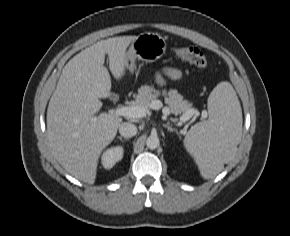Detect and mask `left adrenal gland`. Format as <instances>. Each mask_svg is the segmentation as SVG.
<instances>
[{"label":"left adrenal gland","instance_id":"obj_1","mask_svg":"<svg viewBox=\"0 0 290 236\" xmlns=\"http://www.w3.org/2000/svg\"><path fill=\"white\" fill-rule=\"evenodd\" d=\"M164 126L167 128V130H168L169 132H175L176 134H178L177 130L174 129V128H172V127L169 126L168 124H166V125H164Z\"/></svg>","mask_w":290,"mask_h":236}]
</instances>
